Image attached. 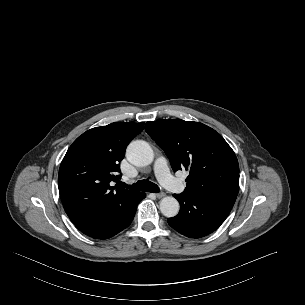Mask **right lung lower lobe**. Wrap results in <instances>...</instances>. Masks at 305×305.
Wrapping results in <instances>:
<instances>
[{
    "label": "right lung lower lobe",
    "mask_w": 305,
    "mask_h": 305,
    "mask_svg": "<svg viewBox=\"0 0 305 305\" xmlns=\"http://www.w3.org/2000/svg\"><path fill=\"white\" fill-rule=\"evenodd\" d=\"M145 197V193L137 192L130 200L119 205L106 214H99L91 219L75 223L84 234L95 239L110 238L132 222L138 203Z\"/></svg>",
    "instance_id": "1"
}]
</instances>
